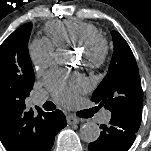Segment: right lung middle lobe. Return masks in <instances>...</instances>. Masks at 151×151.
Instances as JSON below:
<instances>
[{
	"mask_svg": "<svg viewBox=\"0 0 151 151\" xmlns=\"http://www.w3.org/2000/svg\"><path fill=\"white\" fill-rule=\"evenodd\" d=\"M32 23L15 30L0 46V94L29 95L33 88L34 72L28 53Z\"/></svg>",
	"mask_w": 151,
	"mask_h": 151,
	"instance_id": "right-lung-middle-lobe-1",
	"label": "right lung middle lobe"
}]
</instances>
